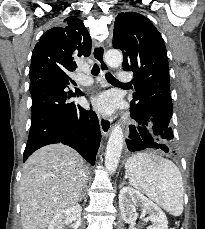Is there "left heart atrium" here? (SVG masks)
<instances>
[{"instance_id": "39dd6f15", "label": "left heart atrium", "mask_w": 205, "mask_h": 229, "mask_svg": "<svg viewBox=\"0 0 205 229\" xmlns=\"http://www.w3.org/2000/svg\"><path fill=\"white\" fill-rule=\"evenodd\" d=\"M92 107L98 112L109 114L115 108V98L110 93H103L96 96L92 102Z\"/></svg>"}]
</instances>
